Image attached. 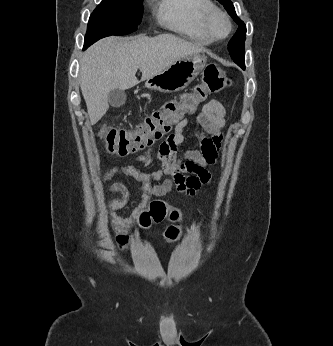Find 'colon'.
<instances>
[{"mask_svg":"<svg viewBox=\"0 0 333 346\" xmlns=\"http://www.w3.org/2000/svg\"><path fill=\"white\" fill-rule=\"evenodd\" d=\"M228 85L229 80L219 66L207 65L202 81L191 92L166 102L135 128L119 129L103 126L100 134L107 150L112 154L125 156L152 145L162 139L184 116L194 113L209 95L220 92ZM165 219L176 223L180 220V212L169 208L165 202L159 200L152 201L139 214V224L142 227L159 224ZM179 234L180 229L176 226H170L166 231V237L170 240L177 239Z\"/></svg>","mask_w":333,"mask_h":346,"instance_id":"5ec220e1","label":"colon"}]
</instances>
